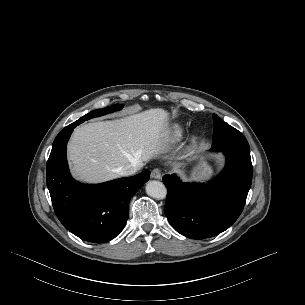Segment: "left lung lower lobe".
Segmentation results:
<instances>
[{
	"label": "left lung lower lobe",
	"instance_id": "left-lung-lower-lobe-1",
	"mask_svg": "<svg viewBox=\"0 0 305 305\" xmlns=\"http://www.w3.org/2000/svg\"><path fill=\"white\" fill-rule=\"evenodd\" d=\"M226 155L224 172L207 185L183 183L175 174L163 177L168 193L164 212L180 234L193 238L213 237L239 217L252 182L250 149L212 148Z\"/></svg>",
	"mask_w": 305,
	"mask_h": 305
}]
</instances>
